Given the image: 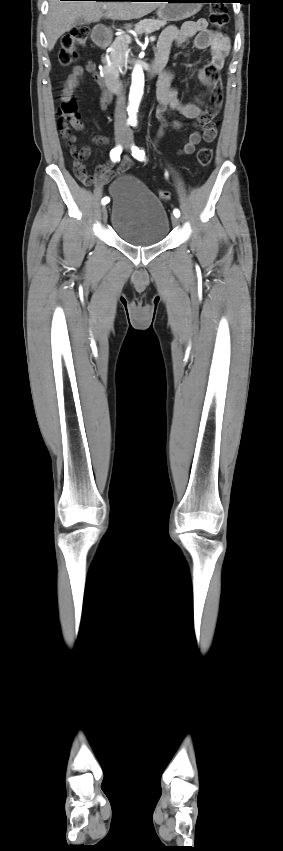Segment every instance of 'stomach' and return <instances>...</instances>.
I'll return each mask as SVG.
<instances>
[{"label": "stomach", "mask_w": 283, "mask_h": 851, "mask_svg": "<svg viewBox=\"0 0 283 851\" xmlns=\"http://www.w3.org/2000/svg\"><path fill=\"white\" fill-rule=\"evenodd\" d=\"M203 0H169L162 4L157 10V15L162 21H179L195 15L202 7ZM97 38L109 40L110 35L104 27L95 29Z\"/></svg>", "instance_id": "1"}]
</instances>
